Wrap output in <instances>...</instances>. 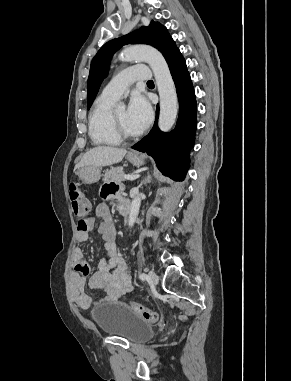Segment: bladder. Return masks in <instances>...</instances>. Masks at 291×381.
I'll return each instance as SVG.
<instances>
[{
	"mask_svg": "<svg viewBox=\"0 0 291 381\" xmlns=\"http://www.w3.org/2000/svg\"><path fill=\"white\" fill-rule=\"evenodd\" d=\"M92 315L103 333L126 339L130 343L144 342L153 334L152 325L121 302L100 306L93 310Z\"/></svg>",
	"mask_w": 291,
	"mask_h": 381,
	"instance_id": "1",
	"label": "bladder"
}]
</instances>
